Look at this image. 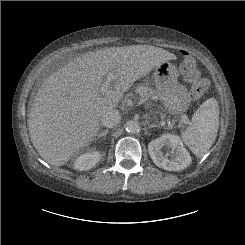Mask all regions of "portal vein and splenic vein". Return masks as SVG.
<instances>
[{
  "mask_svg": "<svg viewBox=\"0 0 245 245\" xmlns=\"http://www.w3.org/2000/svg\"><path fill=\"white\" fill-rule=\"evenodd\" d=\"M114 78H115V75L113 73H110L109 75H107L105 82L101 86V89H100L101 93L107 92ZM182 121L184 122V124H190V121L186 115L182 116Z\"/></svg>",
  "mask_w": 245,
  "mask_h": 245,
  "instance_id": "1",
  "label": "portal vein and splenic vein"
}]
</instances>
